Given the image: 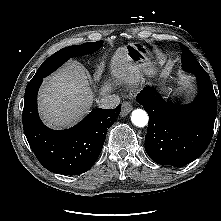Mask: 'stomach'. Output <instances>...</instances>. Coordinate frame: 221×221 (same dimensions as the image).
I'll list each match as a JSON object with an SVG mask.
<instances>
[{
  "label": "stomach",
  "mask_w": 221,
  "mask_h": 221,
  "mask_svg": "<svg viewBox=\"0 0 221 221\" xmlns=\"http://www.w3.org/2000/svg\"><path fill=\"white\" fill-rule=\"evenodd\" d=\"M125 50L133 65L140 67L151 76L156 74L157 56L149 46L140 42H133L128 44Z\"/></svg>",
  "instance_id": "1"
}]
</instances>
